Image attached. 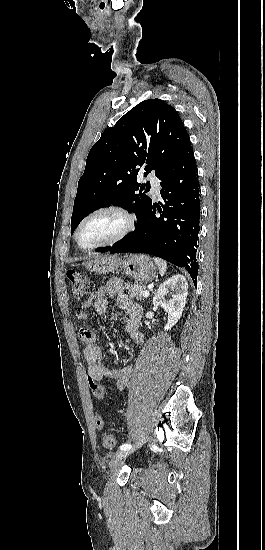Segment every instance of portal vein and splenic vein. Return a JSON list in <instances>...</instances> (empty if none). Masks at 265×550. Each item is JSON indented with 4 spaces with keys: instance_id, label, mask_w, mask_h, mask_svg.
<instances>
[{
    "instance_id": "obj_1",
    "label": "portal vein and splenic vein",
    "mask_w": 265,
    "mask_h": 550,
    "mask_svg": "<svg viewBox=\"0 0 265 550\" xmlns=\"http://www.w3.org/2000/svg\"><path fill=\"white\" fill-rule=\"evenodd\" d=\"M150 293L148 290L143 291L142 296L143 297H149Z\"/></svg>"
}]
</instances>
